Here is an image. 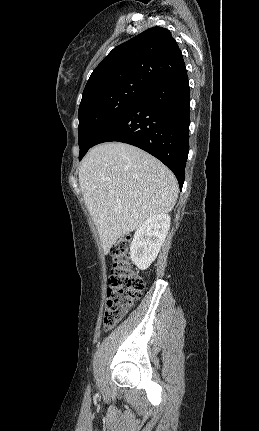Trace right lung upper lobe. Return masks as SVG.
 Instances as JSON below:
<instances>
[{"instance_id":"right-lung-upper-lobe-1","label":"right lung upper lobe","mask_w":259,"mask_h":431,"mask_svg":"<svg viewBox=\"0 0 259 431\" xmlns=\"http://www.w3.org/2000/svg\"><path fill=\"white\" fill-rule=\"evenodd\" d=\"M185 70L182 53L171 32L152 27L115 47L104 58L92 72L82 100L123 85L137 84L149 89Z\"/></svg>"}]
</instances>
